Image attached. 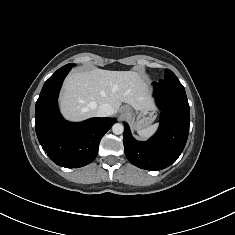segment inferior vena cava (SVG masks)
Segmentation results:
<instances>
[{
    "label": "inferior vena cava",
    "instance_id": "inferior-vena-cava-1",
    "mask_svg": "<svg viewBox=\"0 0 235 235\" xmlns=\"http://www.w3.org/2000/svg\"><path fill=\"white\" fill-rule=\"evenodd\" d=\"M113 114V109L109 104H102L97 109L98 117H108Z\"/></svg>",
    "mask_w": 235,
    "mask_h": 235
}]
</instances>
